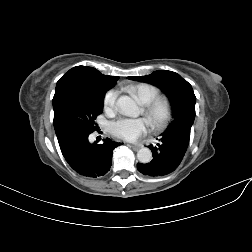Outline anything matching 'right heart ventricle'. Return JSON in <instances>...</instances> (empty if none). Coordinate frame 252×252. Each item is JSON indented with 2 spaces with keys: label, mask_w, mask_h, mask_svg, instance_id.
Masks as SVG:
<instances>
[{
  "label": "right heart ventricle",
  "mask_w": 252,
  "mask_h": 252,
  "mask_svg": "<svg viewBox=\"0 0 252 252\" xmlns=\"http://www.w3.org/2000/svg\"><path fill=\"white\" fill-rule=\"evenodd\" d=\"M127 91L142 105H147L160 95V89L148 83L131 85L127 88Z\"/></svg>",
  "instance_id": "obj_1"
}]
</instances>
